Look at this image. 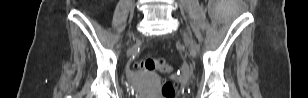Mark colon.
I'll use <instances>...</instances> for the list:
<instances>
[{
	"label": "colon",
	"mask_w": 308,
	"mask_h": 98,
	"mask_svg": "<svg viewBox=\"0 0 308 98\" xmlns=\"http://www.w3.org/2000/svg\"><path fill=\"white\" fill-rule=\"evenodd\" d=\"M136 67L141 68L143 70L149 71V72H171L172 68L167 63V61L163 58H144L140 60ZM162 93L165 97L171 98L175 95V90L170 82H166L163 85Z\"/></svg>",
	"instance_id": "5ec220e1"
}]
</instances>
